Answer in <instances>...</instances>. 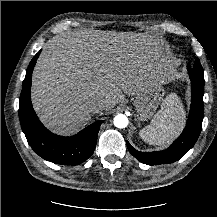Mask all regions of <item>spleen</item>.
<instances>
[{
  "label": "spleen",
  "mask_w": 217,
  "mask_h": 217,
  "mask_svg": "<svg viewBox=\"0 0 217 217\" xmlns=\"http://www.w3.org/2000/svg\"><path fill=\"white\" fill-rule=\"evenodd\" d=\"M185 114L175 95H169L162 103L151 123L140 130V137L152 145L168 144L183 126Z\"/></svg>",
  "instance_id": "3e777b00"
}]
</instances>
